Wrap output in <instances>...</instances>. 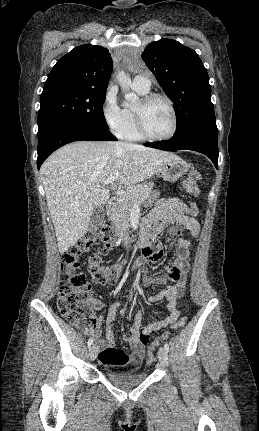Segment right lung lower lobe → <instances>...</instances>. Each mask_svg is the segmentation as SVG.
Returning a JSON list of instances; mask_svg holds the SVG:
<instances>
[{"mask_svg": "<svg viewBox=\"0 0 259 431\" xmlns=\"http://www.w3.org/2000/svg\"><path fill=\"white\" fill-rule=\"evenodd\" d=\"M37 137L38 169L52 152L70 142L80 140L116 141L108 128H99L71 120L50 123L38 131Z\"/></svg>", "mask_w": 259, "mask_h": 431, "instance_id": "1", "label": "right lung lower lobe"}]
</instances>
